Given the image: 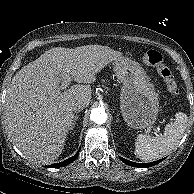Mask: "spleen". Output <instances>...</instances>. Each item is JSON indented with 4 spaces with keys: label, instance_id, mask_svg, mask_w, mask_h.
Returning <instances> with one entry per match:
<instances>
[{
    "label": "spleen",
    "instance_id": "spleen-1",
    "mask_svg": "<svg viewBox=\"0 0 194 194\" xmlns=\"http://www.w3.org/2000/svg\"><path fill=\"white\" fill-rule=\"evenodd\" d=\"M188 117L185 113L175 114L174 122L165 126V131L156 137L139 134L135 142L134 154L142 161L158 160L174 150L186 129Z\"/></svg>",
    "mask_w": 194,
    "mask_h": 194
}]
</instances>
